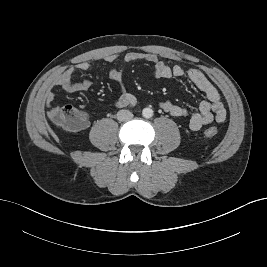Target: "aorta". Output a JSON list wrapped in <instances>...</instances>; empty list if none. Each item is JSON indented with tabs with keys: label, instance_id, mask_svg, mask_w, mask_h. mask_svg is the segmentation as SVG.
<instances>
[{
	"label": "aorta",
	"instance_id": "obj_1",
	"mask_svg": "<svg viewBox=\"0 0 267 267\" xmlns=\"http://www.w3.org/2000/svg\"><path fill=\"white\" fill-rule=\"evenodd\" d=\"M142 115L144 118H151L153 116V110L151 108H144Z\"/></svg>",
	"mask_w": 267,
	"mask_h": 267
}]
</instances>
